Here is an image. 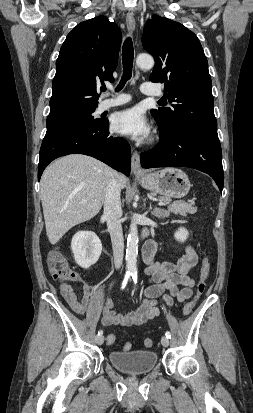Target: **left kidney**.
<instances>
[{
    "instance_id": "1",
    "label": "left kidney",
    "mask_w": 253,
    "mask_h": 413,
    "mask_svg": "<svg viewBox=\"0 0 253 413\" xmlns=\"http://www.w3.org/2000/svg\"><path fill=\"white\" fill-rule=\"evenodd\" d=\"M188 235L189 233L185 228H179L178 231L175 232L174 237L180 242H185Z\"/></svg>"
}]
</instances>
